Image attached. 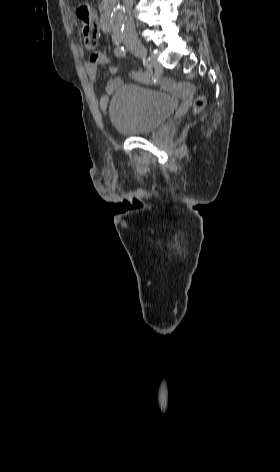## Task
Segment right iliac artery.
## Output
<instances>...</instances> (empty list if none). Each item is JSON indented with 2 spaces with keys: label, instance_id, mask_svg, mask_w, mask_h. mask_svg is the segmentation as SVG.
<instances>
[{
  "label": "right iliac artery",
  "instance_id": "right-iliac-artery-1",
  "mask_svg": "<svg viewBox=\"0 0 280 472\" xmlns=\"http://www.w3.org/2000/svg\"><path fill=\"white\" fill-rule=\"evenodd\" d=\"M114 52H115L116 56H118V57H124L125 54H126L125 48L118 45V44H117ZM143 65L146 69H145V71L138 72L137 73V78H138V80H140L142 82H149L151 80V76H152L151 65H150L149 61L146 60V59H143Z\"/></svg>",
  "mask_w": 280,
  "mask_h": 472
}]
</instances>
